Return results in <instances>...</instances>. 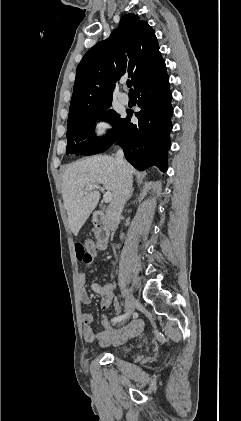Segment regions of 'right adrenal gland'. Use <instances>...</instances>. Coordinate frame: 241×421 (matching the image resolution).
Here are the masks:
<instances>
[{"label": "right adrenal gland", "mask_w": 241, "mask_h": 421, "mask_svg": "<svg viewBox=\"0 0 241 421\" xmlns=\"http://www.w3.org/2000/svg\"><path fill=\"white\" fill-rule=\"evenodd\" d=\"M132 195H133V188L131 189L130 194H129V197H128L127 200H129L132 197Z\"/></svg>", "instance_id": "obj_1"}]
</instances>
